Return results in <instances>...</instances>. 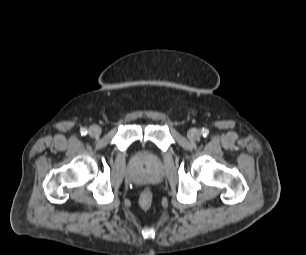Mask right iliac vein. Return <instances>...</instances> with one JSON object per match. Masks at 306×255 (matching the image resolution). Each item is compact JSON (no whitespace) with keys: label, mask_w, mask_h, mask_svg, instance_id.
Returning <instances> with one entry per match:
<instances>
[{"label":"right iliac vein","mask_w":306,"mask_h":255,"mask_svg":"<svg viewBox=\"0 0 306 255\" xmlns=\"http://www.w3.org/2000/svg\"><path fill=\"white\" fill-rule=\"evenodd\" d=\"M100 134H101V128L98 125L90 126V128H89V135L92 138H97V137L100 136Z\"/></svg>","instance_id":"1"}]
</instances>
